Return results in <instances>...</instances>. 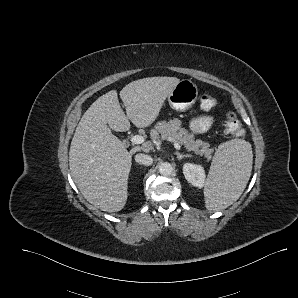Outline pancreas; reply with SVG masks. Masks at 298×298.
Segmentation results:
<instances>
[{"label":"pancreas","instance_id":"obj_1","mask_svg":"<svg viewBox=\"0 0 298 298\" xmlns=\"http://www.w3.org/2000/svg\"><path fill=\"white\" fill-rule=\"evenodd\" d=\"M151 136L156 139H166L171 137L186 149L200 155H205L208 160H211L214 149L210 144L203 142L201 139H195L194 135L182 127L181 120L171 118L167 121H157L151 130Z\"/></svg>","mask_w":298,"mask_h":298}]
</instances>
